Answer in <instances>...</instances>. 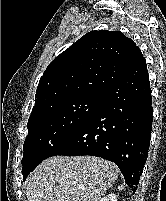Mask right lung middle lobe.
I'll use <instances>...</instances> for the list:
<instances>
[{
  "instance_id": "1",
  "label": "right lung middle lobe",
  "mask_w": 166,
  "mask_h": 201,
  "mask_svg": "<svg viewBox=\"0 0 166 201\" xmlns=\"http://www.w3.org/2000/svg\"><path fill=\"white\" fill-rule=\"evenodd\" d=\"M101 95H83L63 101L28 120L23 145V180L96 109Z\"/></svg>"
}]
</instances>
